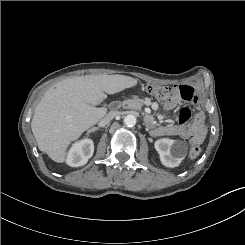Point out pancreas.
<instances>
[{
	"instance_id": "1",
	"label": "pancreas",
	"mask_w": 245,
	"mask_h": 245,
	"mask_svg": "<svg viewBox=\"0 0 245 245\" xmlns=\"http://www.w3.org/2000/svg\"><path fill=\"white\" fill-rule=\"evenodd\" d=\"M144 104L143 99L135 98V99H127L123 102L119 103V107H123L124 109H135L140 110Z\"/></svg>"
}]
</instances>
